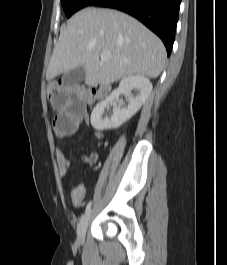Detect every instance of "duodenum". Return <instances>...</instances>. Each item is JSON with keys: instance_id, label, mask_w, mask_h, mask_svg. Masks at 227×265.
Segmentation results:
<instances>
[{"instance_id": "duodenum-1", "label": "duodenum", "mask_w": 227, "mask_h": 265, "mask_svg": "<svg viewBox=\"0 0 227 265\" xmlns=\"http://www.w3.org/2000/svg\"><path fill=\"white\" fill-rule=\"evenodd\" d=\"M110 84L108 83H104L102 85H100V87L97 89V96L98 98H103L105 97L108 92L110 91Z\"/></svg>"}]
</instances>
